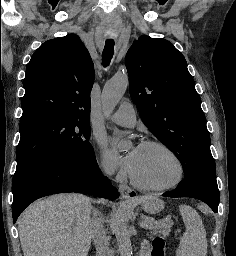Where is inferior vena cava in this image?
<instances>
[{
    "mask_svg": "<svg viewBox=\"0 0 236 256\" xmlns=\"http://www.w3.org/2000/svg\"><path fill=\"white\" fill-rule=\"evenodd\" d=\"M101 222L102 220H92V224H90V226H93V230H90L91 238H94L96 256H110V236H106Z\"/></svg>",
    "mask_w": 236,
    "mask_h": 256,
    "instance_id": "inferior-vena-cava-1",
    "label": "inferior vena cava"
}]
</instances>
